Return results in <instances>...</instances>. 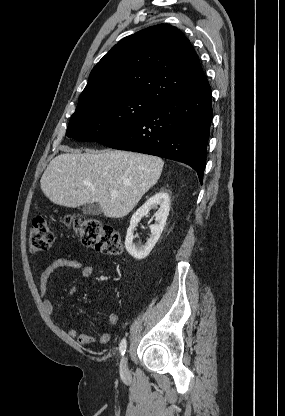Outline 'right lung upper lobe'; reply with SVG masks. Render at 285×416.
<instances>
[{"label":"right lung upper lobe","mask_w":285,"mask_h":416,"mask_svg":"<svg viewBox=\"0 0 285 416\" xmlns=\"http://www.w3.org/2000/svg\"><path fill=\"white\" fill-rule=\"evenodd\" d=\"M208 85L186 36L160 24L122 39L97 63L76 109L126 97L162 105Z\"/></svg>","instance_id":"cb5924a9"}]
</instances>
